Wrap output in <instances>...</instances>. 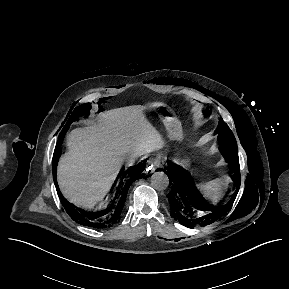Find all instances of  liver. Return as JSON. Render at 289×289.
Wrapping results in <instances>:
<instances>
[{
	"label": "liver",
	"instance_id": "6515ba94",
	"mask_svg": "<svg viewBox=\"0 0 289 289\" xmlns=\"http://www.w3.org/2000/svg\"><path fill=\"white\" fill-rule=\"evenodd\" d=\"M144 111L140 105L109 110L100 115L102 126L70 132L69 151L57 167L59 188L67 200L93 208L110 190L126 156H140L163 146Z\"/></svg>",
	"mask_w": 289,
	"mask_h": 289
}]
</instances>
